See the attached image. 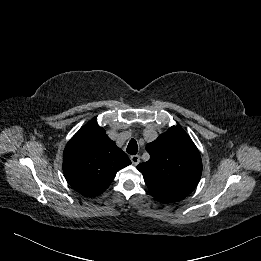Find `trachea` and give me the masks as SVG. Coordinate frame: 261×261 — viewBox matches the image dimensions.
Wrapping results in <instances>:
<instances>
[{
  "label": "trachea",
  "mask_w": 261,
  "mask_h": 261,
  "mask_svg": "<svg viewBox=\"0 0 261 261\" xmlns=\"http://www.w3.org/2000/svg\"><path fill=\"white\" fill-rule=\"evenodd\" d=\"M126 152L131 155H135L138 152V145L135 139L130 140Z\"/></svg>",
  "instance_id": "trachea-1"
}]
</instances>
